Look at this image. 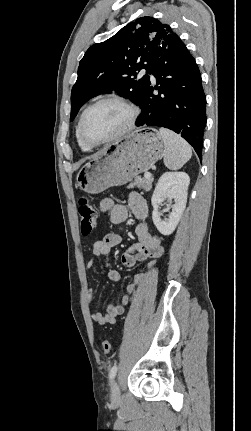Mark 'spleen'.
<instances>
[{"mask_svg":"<svg viewBox=\"0 0 251 431\" xmlns=\"http://www.w3.org/2000/svg\"><path fill=\"white\" fill-rule=\"evenodd\" d=\"M164 142V164L171 170L181 168L191 157V147L178 134L165 128L159 129Z\"/></svg>","mask_w":251,"mask_h":431,"instance_id":"obj_1","label":"spleen"}]
</instances>
